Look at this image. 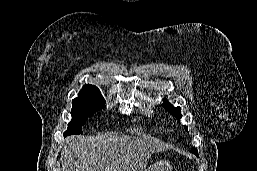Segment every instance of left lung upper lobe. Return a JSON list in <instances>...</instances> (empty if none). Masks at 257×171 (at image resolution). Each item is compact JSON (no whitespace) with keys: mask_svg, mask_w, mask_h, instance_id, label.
I'll use <instances>...</instances> for the list:
<instances>
[{"mask_svg":"<svg viewBox=\"0 0 257 171\" xmlns=\"http://www.w3.org/2000/svg\"><path fill=\"white\" fill-rule=\"evenodd\" d=\"M164 108H166L172 115H174L177 118H181V108L180 107H174L171 103L169 102H164L163 103ZM185 128L187 129V127L185 126ZM192 152H194L195 154H198V151L196 148H192L191 149Z\"/></svg>","mask_w":257,"mask_h":171,"instance_id":"obj_1","label":"left lung upper lobe"}]
</instances>
